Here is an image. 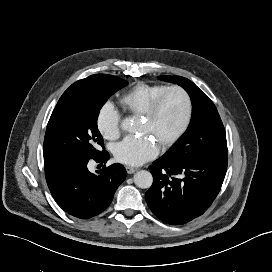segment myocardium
I'll return each mask as SVG.
<instances>
[{
  "mask_svg": "<svg viewBox=\"0 0 272 272\" xmlns=\"http://www.w3.org/2000/svg\"><path fill=\"white\" fill-rule=\"evenodd\" d=\"M173 91L180 93L184 98L185 115L179 128L171 136H169L167 140L161 145L162 150L172 146L185 133V131L189 127L193 115V103L190 94L182 86L179 85L168 86L154 98V100L150 103L146 111L142 114V117L145 119L150 120L154 118L157 112L159 111L165 97Z\"/></svg>",
  "mask_w": 272,
  "mask_h": 272,
  "instance_id": "myocardium-1",
  "label": "myocardium"
}]
</instances>
